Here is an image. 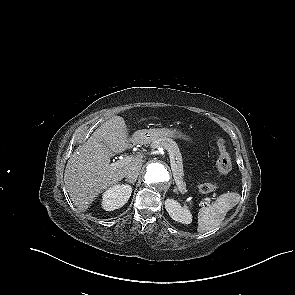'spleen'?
<instances>
[{
  "label": "spleen",
  "mask_w": 295,
  "mask_h": 295,
  "mask_svg": "<svg viewBox=\"0 0 295 295\" xmlns=\"http://www.w3.org/2000/svg\"><path fill=\"white\" fill-rule=\"evenodd\" d=\"M239 200L240 195L238 193H225L217 197L211 205L202 207L198 212L197 231L203 233L216 228Z\"/></svg>",
  "instance_id": "3e777b00"
}]
</instances>
